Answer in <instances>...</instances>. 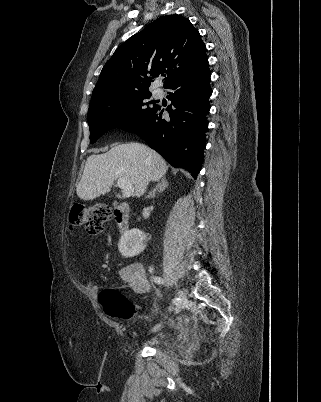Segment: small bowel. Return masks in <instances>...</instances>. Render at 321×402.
<instances>
[{"label":"small bowel","mask_w":321,"mask_h":402,"mask_svg":"<svg viewBox=\"0 0 321 402\" xmlns=\"http://www.w3.org/2000/svg\"><path fill=\"white\" fill-rule=\"evenodd\" d=\"M120 280L123 287H127L138 294H146L151 288L146 271L140 263L125 266L121 270ZM89 287L94 292L98 291V286L95 284H90Z\"/></svg>","instance_id":"small-bowel-1"}]
</instances>
